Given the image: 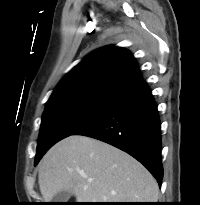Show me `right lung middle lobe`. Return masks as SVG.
Wrapping results in <instances>:
<instances>
[{"mask_svg": "<svg viewBox=\"0 0 200 205\" xmlns=\"http://www.w3.org/2000/svg\"><path fill=\"white\" fill-rule=\"evenodd\" d=\"M114 101L101 97H75L47 106L42 117L35 165L52 145L97 119Z\"/></svg>", "mask_w": 200, "mask_h": 205, "instance_id": "1", "label": "right lung middle lobe"}]
</instances>
